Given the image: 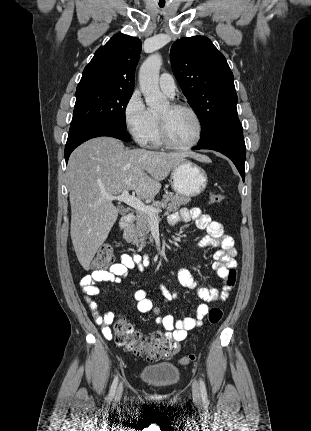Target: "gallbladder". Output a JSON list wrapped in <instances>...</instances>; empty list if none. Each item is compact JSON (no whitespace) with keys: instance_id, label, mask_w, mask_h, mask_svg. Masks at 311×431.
<instances>
[{"instance_id":"obj_1","label":"gallbladder","mask_w":311,"mask_h":431,"mask_svg":"<svg viewBox=\"0 0 311 431\" xmlns=\"http://www.w3.org/2000/svg\"><path fill=\"white\" fill-rule=\"evenodd\" d=\"M118 212H123V214H126L125 208H117Z\"/></svg>"}]
</instances>
